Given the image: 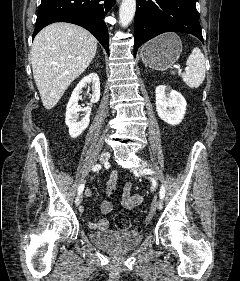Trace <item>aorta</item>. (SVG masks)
<instances>
[{
    "instance_id": "762f6f07",
    "label": "aorta",
    "mask_w": 240,
    "mask_h": 281,
    "mask_svg": "<svg viewBox=\"0 0 240 281\" xmlns=\"http://www.w3.org/2000/svg\"><path fill=\"white\" fill-rule=\"evenodd\" d=\"M136 0H122L119 8V20L122 27H127L133 20Z\"/></svg>"
}]
</instances>
